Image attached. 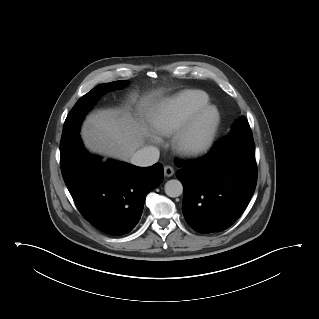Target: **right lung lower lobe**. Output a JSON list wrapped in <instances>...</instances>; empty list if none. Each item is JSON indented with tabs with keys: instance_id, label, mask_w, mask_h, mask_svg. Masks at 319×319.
Here are the masks:
<instances>
[{
	"instance_id": "obj_1",
	"label": "right lung lower lobe",
	"mask_w": 319,
	"mask_h": 319,
	"mask_svg": "<svg viewBox=\"0 0 319 319\" xmlns=\"http://www.w3.org/2000/svg\"><path fill=\"white\" fill-rule=\"evenodd\" d=\"M60 153L62 175L79 211L112 236L129 233L137 225L146 195L163 180L161 163L150 167L102 163L84 149L79 135Z\"/></svg>"
}]
</instances>
